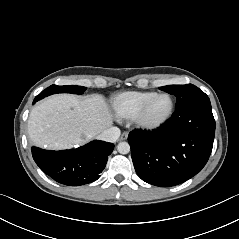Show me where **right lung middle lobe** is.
<instances>
[{"mask_svg": "<svg viewBox=\"0 0 239 239\" xmlns=\"http://www.w3.org/2000/svg\"><path fill=\"white\" fill-rule=\"evenodd\" d=\"M86 87L82 86H57V85H51L50 87L46 88L44 91H42L38 96H36L37 100H40L46 96H49L51 94L55 93H73V94H83L86 90Z\"/></svg>", "mask_w": 239, "mask_h": 239, "instance_id": "right-lung-middle-lobe-1", "label": "right lung middle lobe"}]
</instances>
